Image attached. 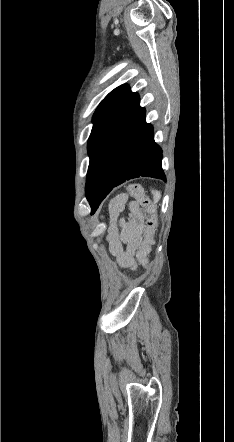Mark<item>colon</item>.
<instances>
[{"mask_svg": "<svg viewBox=\"0 0 234 442\" xmlns=\"http://www.w3.org/2000/svg\"><path fill=\"white\" fill-rule=\"evenodd\" d=\"M129 194H131L143 207L148 214V219L145 225V233L143 245L138 254L137 259L140 262L141 268H147L150 263V256L146 254L152 243L154 230L157 226L158 217L155 203L147 196L143 187L138 183H131L126 187Z\"/></svg>", "mask_w": 234, "mask_h": 442, "instance_id": "obj_1", "label": "colon"}]
</instances>
